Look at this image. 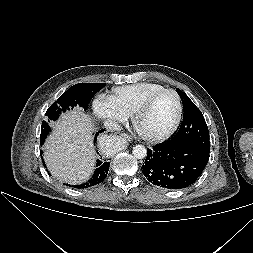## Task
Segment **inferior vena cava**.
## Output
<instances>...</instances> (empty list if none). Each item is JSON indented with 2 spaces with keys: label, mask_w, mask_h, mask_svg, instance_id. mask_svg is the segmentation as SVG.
Masks as SVG:
<instances>
[{
  "label": "inferior vena cava",
  "mask_w": 253,
  "mask_h": 253,
  "mask_svg": "<svg viewBox=\"0 0 253 253\" xmlns=\"http://www.w3.org/2000/svg\"><path fill=\"white\" fill-rule=\"evenodd\" d=\"M104 126L106 129L113 130V131H120L122 129L120 124L114 119H107L104 122Z\"/></svg>",
  "instance_id": "1"
}]
</instances>
